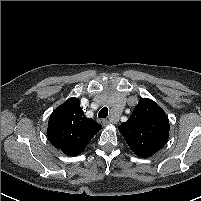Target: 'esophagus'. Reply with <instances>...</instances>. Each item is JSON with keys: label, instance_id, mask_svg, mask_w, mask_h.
Segmentation results:
<instances>
[{"label": "esophagus", "instance_id": "esophagus-1", "mask_svg": "<svg viewBox=\"0 0 201 201\" xmlns=\"http://www.w3.org/2000/svg\"><path fill=\"white\" fill-rule=\"evenodd\" d=\"M102 123H103L104 126H108V125L111 124V121L108 120V119H104V120L102 121Z\"/></svg>", "mask_w": 201, "mask_h": 201}]
</instances>
